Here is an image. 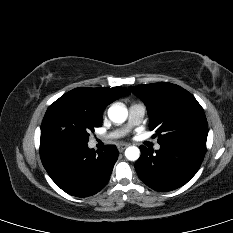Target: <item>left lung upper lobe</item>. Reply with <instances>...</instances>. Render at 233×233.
Listing matches in <instances>:
<instances>
[{"instance_id": "1", "label": "left lung upper lobe", "mask_w": 233, "mask_h": 233, "mask_svg": "<svg viewBox=\"0 0 233 233\" xmlns=\"http://www.w3.org/2000/svg\"><path fill=\"white\" fill-rule=\"evenodd\" d=\"M129 89L147 106L149 128L158 134L159 144L187 140L206 142L208 125L204 110L187 90L168 82Z\"/></svg>"}]
</instances>
